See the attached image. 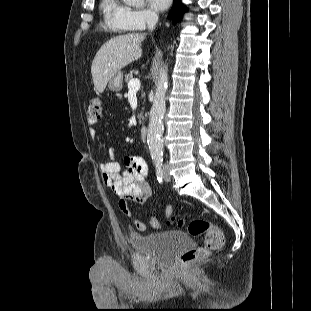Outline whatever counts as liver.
<instances>
[{
	"mask_svg": "<svg viewBox=\"0 0 311 311\" xmlns=\"http://www.w3.org/2000/svg\"><path fill=\"white\" fill-rule=\"evenodd\" d=\"M145 35L129 33L107 41L96 53L91 74L99 93H103L109 80L122 68L142 56L141 42Z\"/></svg>",
	"mask_w": 311,
	"mask_h": 311,
	"instance_id": "obj_1",
	"label": "liver"
}]
</instances>
